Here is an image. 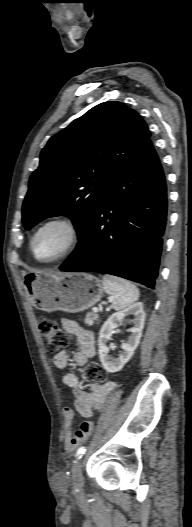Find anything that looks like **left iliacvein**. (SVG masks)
I'll use <instances>...</instances> for the list:
<instances>
[{"mask_svg": "<svg viewBox=\"0 0 192 527\" xmlns=\"http://www.w3.org/2000/svg\"><path fill=\"white\" fill-rule=\"evenodd\" d=\"M72 479L74 481L75 488L80 489L82 487L83 478L81 471V460L74 462L72 467Z\"/></svg>", "mask_w": 192, "mask_h": 527, "instance_id": "1", "label": "left iliac vein"}]
</instances>
